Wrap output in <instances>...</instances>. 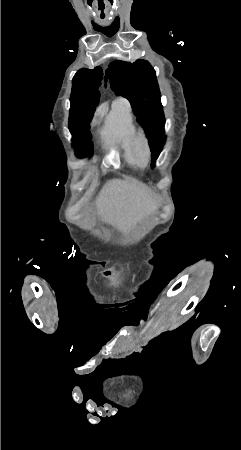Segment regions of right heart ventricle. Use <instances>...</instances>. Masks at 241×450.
Here are the masks:
<instances>
[{"label":"right heart ventricle","mask_w":241,"mask_h":450,"mask_svg":"<svg viewBox=\"0 0 241 450\" xmlns=\"http://www.w3.org/2000/svg\"><path fill=\"white\" fill-rule=\"evenodd\" d=\"M133 136L134 126L129 107L124 102H117L106 116L101 130L102 141L109 149H123L128 159H134L135 150L129 148V145L134 143L128 140Z\"/></svg>","instance_id":"right-heart-ventricle-1"}]
</instances>
